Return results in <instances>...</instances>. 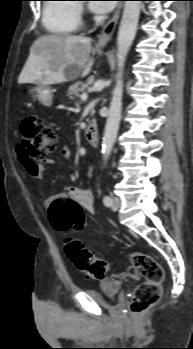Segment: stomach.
Returning <instances> with one entry per match:
<instances>
[{"label": "stomach", "instance_id": "0dacf381", "mask_svg": "<svg viewBox=\"0 0 193 349\" xmlns=\"http://www.w3.org/2000/svg\"><path fill=\"white\" fill-rule=\"evenodd\" d=\"M28 92L37 97V99L45 106L52 105L53 93L48 85H36L35 87H28Z\"/></svg>", "mask_w": 193, "mask_h": 349}]
</instances>
